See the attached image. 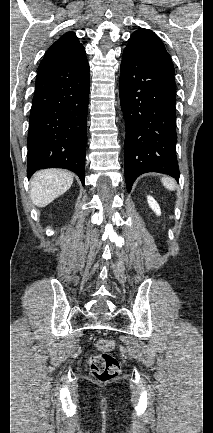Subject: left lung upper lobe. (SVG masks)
Masks as SVG:
<instances>
[{
  "mask_svg": "<svg viewBox=\"0 0 213 433\" xmlns=\"http://www.w3.org/2000/svg\"><path fill=\"white\" fill-rule=\"evenodd\" d=\"M125 49L136 53L141 59L174 74L170 55L163 42L149 29H138L132 33Z\"/></svg>",
  "mask_w": 213,
  "mask_h": 433,
  "instance_id": "1",
  "label": "left lung upper lobe"
}]
</instances>
